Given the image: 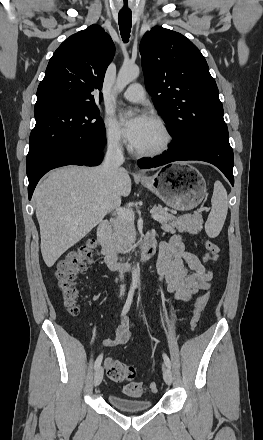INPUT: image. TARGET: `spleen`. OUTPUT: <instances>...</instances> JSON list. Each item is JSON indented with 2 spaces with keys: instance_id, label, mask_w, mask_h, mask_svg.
<instances>
[{
  "instance_id": "3e777b00",
  "label": "spleen",
  "mask_w": 263,
  "mask_h": 440,
  "mask_svg": "<svg viewBox=\"0 0 263 440\" xmlns=\"http://www.w3.org/2000/svg\"><path fill=\"white\" fill-rule=\"evenodd\" d=\"M211 203L212 208L205 223V231L210 238H215L222 230L228 211L227 191L220 181L214 183Z\"/></svg>"
}]
</instances>
